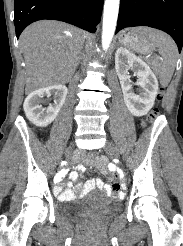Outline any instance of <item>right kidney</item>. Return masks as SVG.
I'll return each instance as SVG.
<instances>
[{
    "label": "right kidney",
    "mask_w": 183,
    "mask_h": 246,
    "mask_svg": "<svg viewBox=\"0 0 183 246\" xmlns=\"http://www.w3.org/2000/svg\"><path fill=\"white\" fill-rule=\"evenodd\" d=\"M67 87L63 84L43 87L31 92L24 101V112L26 117L38 127H46L58 115L62 108L66 96ZM53 97L54 102L47 108L42 106L45 102L44 97Z\"/></svg>",
    "instance_id": "obj_1"
}]
</instances>
